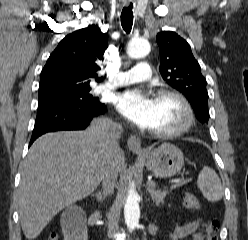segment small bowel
<instances>
[{"label":"small bowel","mask_w":248,"mask_h":240,"mask_svg":"<svg viewBox=\"0 0 248 240\" xmlns=\"http://www.w3.org/2000/svg\"><path fill=\"white\" fill-rule=\"evenodd\" d=\"M199 226V220L178 224L176 225L174 231L170 234V240H180L187 236H191V240H203L202 234L198 231Z\"/></svg>","instance_id":"c3829d8e"}]
</instances>
